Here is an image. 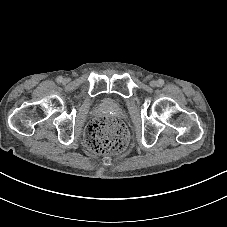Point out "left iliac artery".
I'll return each mask as SVG.
<instances>
[{
	"label": "left iliac artery",
	"instance_id": "1",
	"mask_svg": "<svg viewBox=\"0 0 227 227\" xmlns=\"http://www.w3.org/2000/svg\"><path fill=\"white\" fill-rule=\"evenodd\" d=\"M157 83H158L159 86H163L164 80H163V79H159V80L157 81Z\"/></svg>",
	"mask_w": 227,
	"mask_h": 227
}]
</instances>
